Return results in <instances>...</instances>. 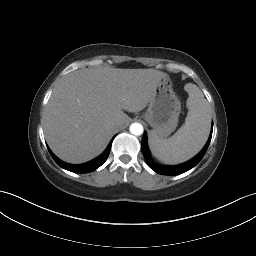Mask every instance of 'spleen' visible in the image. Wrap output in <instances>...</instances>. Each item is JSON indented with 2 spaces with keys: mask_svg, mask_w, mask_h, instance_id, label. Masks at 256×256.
<instances>
[{
  "mask_svg": "<svg viewBox=\"0 0 256 256\" xmlns=\"http://www.w3.org/2000/svg\"><path fill=\"white\" fill-rule=\"evenodd\" d=\"M188 113L183 126L169 139L159 138L153 131L149 147L159 161L178 164L195 156L204 146L210 132V106L200 89L192 83L186 85Z\"/></svg>",
  "mask_w": 256,
  "mask_h": 256,
  "instance_id": "spleen-1",
  "label": "spleen"
}]
</instances>
